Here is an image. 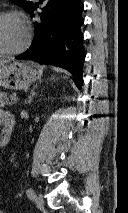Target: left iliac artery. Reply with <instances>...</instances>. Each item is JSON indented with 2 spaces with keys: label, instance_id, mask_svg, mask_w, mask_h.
<instances>
[{
  "label": "left iliac artery",
  "instance_id": "1",
  "mask_svg": "<svg viewBox=\"0 0 128 213\" xmlns=\"http://www.w3.org/2000/svg\"><path fill=\"white\" fill-rule=\"evenodd\" d=\"M26 193H27V195H28V197H29L30 199L33 200V199L35 198V192H34L33 189L28 188V189L26 190Z\"/></svg>",
  "mask_w": 128,
  "mask_h": 213
}]
</instances>
